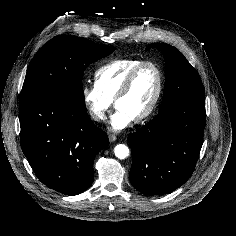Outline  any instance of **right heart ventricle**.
Here are the masks:
<instances>
[{"label": "right heart ventricle", "instance_id": "e07e8e85", "mask_svg": "<svg viewBox=\"0 0 236 236\" xmlns=\"http://www.w3.org/2000/svg\"><path fill=\"white\" fill-rule=\"evenodd\" d=\"M143 61L139 58L113 60L96 70L95 83L113 101L127 75Z\"/></svg>", "mask_w": 236, "mask_h": 236}]
</instances>
